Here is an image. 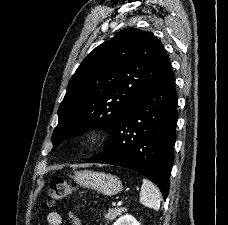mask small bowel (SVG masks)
<instances>
[{
	"mask_svg": "<svg viewBox=\"0 0 228 225\" xmlns=\"http://www.w3.org/2000/svg\"><path fill=\"white\" fill-rule=\"evenodd\" d=\"M68 218L71 222V225H82L80 218L77 217L74 213H69ZM46 222L48 225H62L63 224L61 215L56 211L49 212L46 215Z\"/></svg>",
	"mask_w": 228,
	"mask_h": 225,
	"instance_id": "obj_1",
	"label": "small bowel"
}]
</instances>
